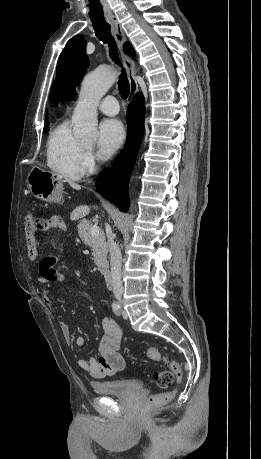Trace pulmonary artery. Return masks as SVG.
I'll return each mask as SVG.
<instances>
[{"label":"pulmonary artery","instance_id":"e3ab8cb5","mask_svg":"<svg viewBox=\"0 0 261 459\" xmlns=\"http://www.w3.org/2000/svg\"><path fill=\"white\" fill-rule=\"evenodd\" d=\"M98 109L105 115L114 116L119 112V104L114 96H106L99 103Z\"/></svg>","mask_w":261,"mask_h":459}]
</instances>
